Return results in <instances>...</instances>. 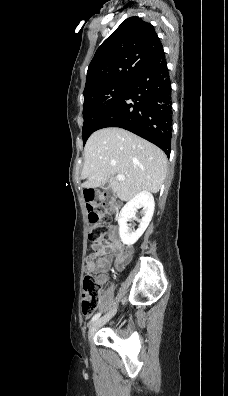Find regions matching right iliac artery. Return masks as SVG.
I'll use <instances>...</instances> for the list:
<instances>
[{
  "label": "right iliac artery",
  "mask_w": 228,
  "mask_h": 396,
  "mask_svg": "<svg viewBox=\"0 0 228 396\" xmlns=\"http://www.w3.org/2000/svg\"><path fill=\"white\" fill-rule=\"evenodd\" d=\"M100 315H101V313L95 314V315L92 317L91 322H94L95 320H97V319L100 317Z\"/></svg>",
  "instance_id": "right-iliac-artery-1"
}]
</instances>
